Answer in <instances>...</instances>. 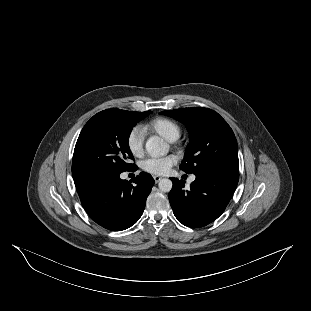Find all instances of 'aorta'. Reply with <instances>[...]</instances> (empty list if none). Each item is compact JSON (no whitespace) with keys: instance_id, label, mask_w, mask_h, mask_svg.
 Instances as JSON below:
<instances>
[{"instance_id":"aorta-1","label":"aorta","mask_w":311,"mask_h":311,"mask_svg":"<svg viewBox=\"0 0 311 311\" xmlns=\"http://www.w3.org/2000/svg\"><path fill=\"white\" fill-rule=\"evenodd\" d=\"M145 149L152 157H162L168 153L169 146L160 137L153 136L147 140ZM158 186L162 192H170L172 189V181L165 178L160 181Z\"/></svg>"}]
</instances>
